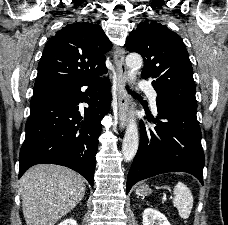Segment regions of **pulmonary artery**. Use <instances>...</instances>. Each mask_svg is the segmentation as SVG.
I'll return each mask as SVG.
<instances>
[{"label": "pulmonary artery", "mask_w": 228, "mask_h": 225, "mask_svg": "<svg viewBox=\"0 0 228 225\" xmlns=\"http://www.w3.org/2000/svg\"><path fill=\"white\" fill-rule=\"evenodd\" d=\"M137 85L140 86V90H144L148 96L150 106L154 112L157 111V92L154 90L152 85H148L147 81H138Z\"/></svg>", "instance_id": "e3ab8cb5"}]
</instances>
